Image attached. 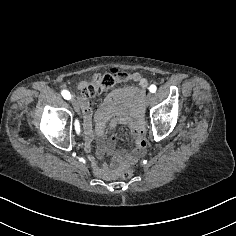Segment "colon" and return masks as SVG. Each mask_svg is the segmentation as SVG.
Listing matches in <instances>:
<instances>
[{"label":"colon","instance_id":"1","mask_svg":"<svg viewBox=\"0 0 236 236\" xmlns=\"http://www.w3.org/2000/svg\"><path fill=\"white\" fill-rule=\"evenodd\" d=\"M114 75L111 73L105 75L94 76L93 79L87 83L81 91L83 97L91 98L101 91H108L114 86ZM134 175L130 168L122 169L118 176L122 180H128Z\"/></svg>","mask_w":236,"mask_h":236}]
</instances>
